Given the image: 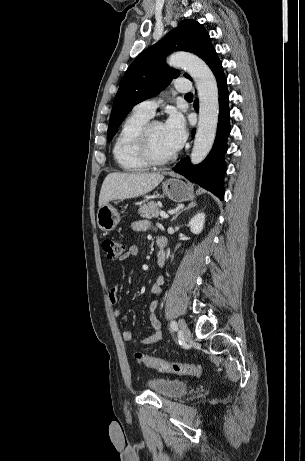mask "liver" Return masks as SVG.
<instances>
[{
  "label": "liver",
  "instance_id": "6515ba94",
  "mask_svg": "<svg viewBox=\"0 0 305 461\" xmlns=\"http://www.w3.org/2000/svg\"><path fill=\"white\" fill-rule=\"evenodd\" d=\"M164 179L160 173H110L103 181L99 207L112 200L136 198L152 191Z\"/></svg>",
  "mask_w": 305,
  "mask_h": 461
}]
</instances>
